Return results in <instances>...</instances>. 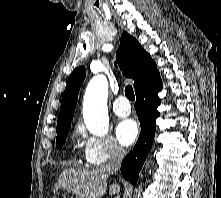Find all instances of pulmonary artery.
I'll return each mask as SVG.
<instances>
[{
  "instance_id": "1",
  "label": "pulmonary artery",
  "mask_w": 221,
  "mask_h": 198,
  "mask_svg": "<svg viewBox=\"0 0 221 198\" xmlns=\"http://www.w3.org/2000/svg\"><path fill=\"white\" fill-rule=\"evenodd\" d=\"M113 111L119 117H127L131 113V106L125 96H119L113 103Z\"/></svg>"
}]
</instances>
